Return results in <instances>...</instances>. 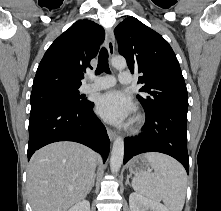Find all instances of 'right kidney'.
Returning <instances> with one entry per match:
<instances>
[{
	"label": "right kidney",
	"mask_w": 221,
	"mask_h": 211,
	"mask_svg": "<svg viewBox=\"0 0 221 211\" xmlns=\"http://www.w3.org/2000/svg\"><path fill=\"white\" fill-rule=\"evenodd\" d=\"M68 211H90V203L88 200H83L75 204Z\"/></svg>",
	"instance_id": "1"
}]
</instances>
